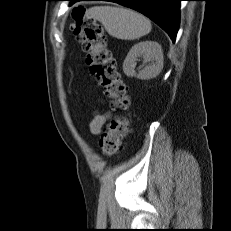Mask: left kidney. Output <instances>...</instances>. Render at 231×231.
<instances>
[{
	"label": "left kidney",
	"mask_w": 231,
	"mask_h": 231,
	"mask_svg": "<svg viewBox=\"0 0 231 231\" xmlns=\"http://www.w3.org/2000/svg\"><path fill=\"white\" fill-rule=\"evenodd\" d=\"M142 56L148 65L138 74L134 70L137 57ZM163 52L161 45L154 41H143L135 44L123 62V71L128 77L148 80L156 77L163 68Z\"/></svg>",
	"instance_id": "obj_1"
}]
</instances>
